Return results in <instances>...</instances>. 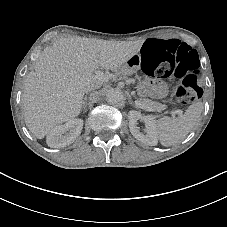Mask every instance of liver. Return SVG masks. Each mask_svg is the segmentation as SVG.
Returning a JSON list of instances; mask_svg holds the SVG:
<instances>
[{"instance_id":"6515ba94","label":"liver","mask_w":227,"mask_h":227,"mask_svg":"<svg viewBox=\"0 0 227 227\" xmlns=\"http://www.w3.org/2000/svg\"><path fill=\"white\" fill-rule=\"evenodd\" d=\"M143 43L76 36L58 39L44 48L34 71L24 80L22 104L28 129L42 139L58 124L77 117L86 87L109 80L97 76V69L119 70Z\"/></svg>"}]
</instances>
